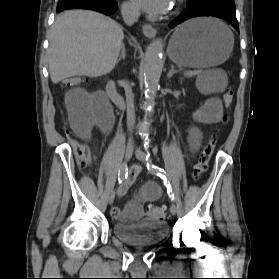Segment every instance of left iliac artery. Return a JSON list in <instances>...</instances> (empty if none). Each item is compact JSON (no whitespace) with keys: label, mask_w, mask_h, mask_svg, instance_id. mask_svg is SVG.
Masks as SVG:
<instances>
[{"label":"left iliac artery","mask_w":279,"mask_h":279,"mask_svg":"<svg viewBox=\"0 0 279 279\" xmlns=\"http://www.w3.org/2000/svg\"><path fill=\"white\" fill-rule=\"evenodd\" d=\"M146 160H147V168H148V170L152 174H156L157 176H159L164 181V184L167 187V193H168L170 199L174 200V194H173L171 185L167 181V174H166L165 170L163 168H160V167L152 164L151 159H150V154H149L148 151H147Z\"/></svg>","instance_id":"obj_1"}]
</instances>
